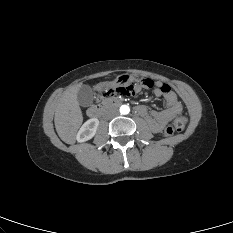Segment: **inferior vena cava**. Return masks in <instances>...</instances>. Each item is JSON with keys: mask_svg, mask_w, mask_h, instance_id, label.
I'll use <instances>...</instances> for the list:
<instances>
[{"mask_svg": "<svg viewBox=\"0 0 233 233\" xmlns=\"http://www.w3.org/2000/svg\"><path fill=\"white\" fill-rule=\"evenodd\" d=\"M116 114H117V110L114 108H110V109L105 111V117L107 119L114 117Z\"/></svg>", "mask_w": 233, "mask_h": 233, "instance_id": "inferior-vena-cava-1", "label": "inferior vena cava"}]
</instances>
